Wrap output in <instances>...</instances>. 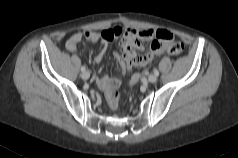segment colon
Returning <instances> with one entry per match:
<instances>
[{
	"label": "colon",
	"mask_w": 238,
	"mask_h": 158,
	"mask_svg": "<svg viewBox=\"0 0 238 158\" xmlns=\"http://www.w3.org/2000/svg\"><path fill=\"white\" fill-rule=\"evenodd\" d=\"M101 36L105 39L112 40L113 35L111 31L104 30L101 32ZM164 49L173 56H179L184 51V46L180 42L169 40L164 43ZM120 83L116 81H112L110 84L109 89L106 92V97L109 102V104L112 107H116L120 101L121 92H120Z\"/></svg>",
	"instance_id": "1"
}]
</instances>
